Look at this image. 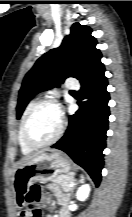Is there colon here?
<instances>
[{
	"label": "colon",
	"mask_w": 132,
	"mask_h": 217,
	"mask_svg": "<svg viewBox=\"0 0 132 217\" xmlns=\"http://www.w3.org/2000/svg\"><path fill=\"white\" fill-rule=\"evenodd\" d=\"M41 198V189L38 185H32L25 195V201L30 206L36 205ZM30 217H41L40 209L37 207H31Z\"/></svg>",
	"instance_id": "colon-1"
}]
</instances>
